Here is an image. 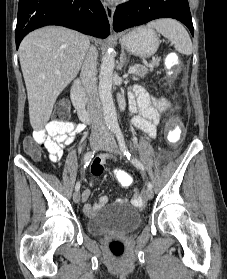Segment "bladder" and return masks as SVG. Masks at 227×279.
Wrapping results in <instances>:
<instances>
[{
	"label": "bladder",
	"mask_w": 227,
	"mask_h": 279,
	"mask_svg": "<svg viewBox=\"0 0 227 279\" xmlns=\"http://www.w3.org/2000/svg\"><path fill=\"white\" fill-rule=\"evenodd\" d=\"M142 224L140 213L129 204L110 203L106 210L87 220V232L93 236L108 233L127 234Z\"/></svg>",
	"instance_id": "bladder-1"
}]
</instances>
